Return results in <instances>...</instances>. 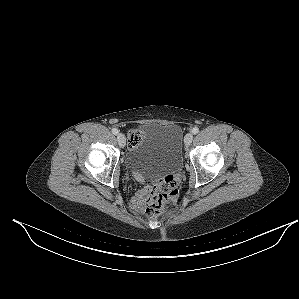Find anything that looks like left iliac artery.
<instances>
[{"label": "left iliac artery", "instance_id": "44dca946", "mask_svg": "<svg viewBox=\"0 0 299 299\" xmlns=\"http://www.w3.org/2000/svg\"><path fill=\"white\" fill-rule=\"evenodd\" d=\"M199 132V128L198 127H194L193 129H192V133L193 134H197Z\"/></svg>", "mask_w": 299, "mask_h": 299}]
</instances>
